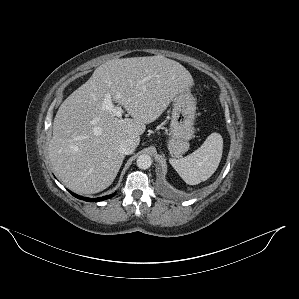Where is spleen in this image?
<instances>
[{
    "label": "spleen",
    "instance_id": "3e777b00",
    "mask_svg": "<svg viewBox=\"0 0 299 299\" xmlns=\"http://www.w3.org/2000/svg\"><path fill=\"white\" fill-rule=\"evenodd\" d=\"M223 150V139L219 133H211L193 153L180 159H170V164L189 185L206 181L218 168Z\"/></svg>",
    "mask_w": 299,
    "mask_h": 299
}]
</instances>
